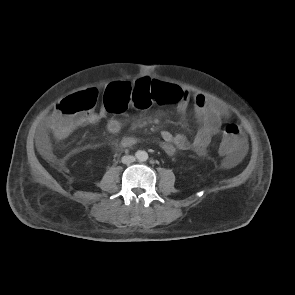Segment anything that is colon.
<instances>
[{"label":"colon","instance_id":"5ec220e1","mask_svg":"<svg viewBox=\"0 0 295 295\" xmlns=\"http://www.w3.org/2000/svg\"><path fill=\"white\" fill-rule=\"evenodd\" d=\"M177 98V88L170 84L142 81L132 87L130 83L117 82L108 85L103 102L109 111L123 112L129 103L134 110H150L151 102H171ZM98 99L94 89L73 94L62 100L56 107L52 133L58 139L68 137L91 113ZM241 142L240 128L227 124L222 131L221 149L226 152L237 150Z\"/></svg>","mask_w":295,"mask_h":295}]
</instances>
